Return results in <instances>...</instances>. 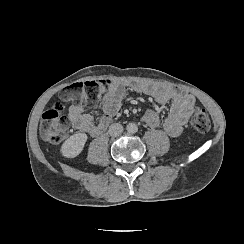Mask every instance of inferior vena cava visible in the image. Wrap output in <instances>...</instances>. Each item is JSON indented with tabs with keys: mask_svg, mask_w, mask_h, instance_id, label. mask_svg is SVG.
I'll use <instances>...</instances> for the list:
<instances>
[{
	"mask_svg": "<svg viewBox=\"0 0 244 244\" xmlns=\"http://www.w3.org/2000/svg\"><path fill=\"white\" fill-rule=\"evenodd\" d=\"M123 132V126L119 123H114L109 127V134L112 137H117Z\"/></svg>",
	"mask_w": 244,
	"mask_h": 244,
	"instance_id": "1",
	"label": "inferior vena cava"
}]
</instances>
